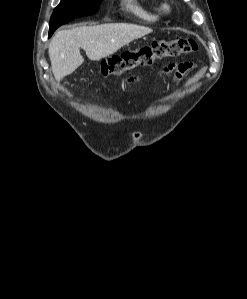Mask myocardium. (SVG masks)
I'll return each instance as SVG.
<instances>
[{
	"mask_svg": "<svg viewBox=\"0 0 247 299\" xmlns=\"http://www.w3.org/2000/svg\"><path fill=\"white\" fill-rule=\"evenodd\" d=\"M163 8H164V10H165V11H170V6H169V5H167V4H166V5H164V7H163Z\"/></svg>",
	"mask_w": 247,
	"mask_h": 299,
	"instance_id": "f54148a6",
	"label": "myocardium"
}]
</instances>
